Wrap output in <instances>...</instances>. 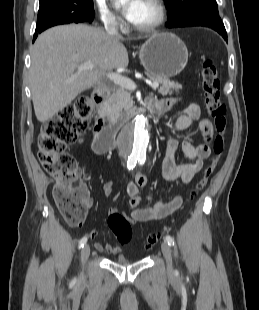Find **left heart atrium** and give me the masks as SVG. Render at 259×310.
Returning a JSON list of instances; mask_svg holds the SVG:
<instances>
[{"label":"left heart atrium","mask_w":259,"mask_h":310,"mask_svg":"<svg viewBox=\"0 0 259 310\" xmlns=\"http://www.w3.org/2000/svg\"><path fill=\"white\" fill-rule=\"evenodd\" d=\"M141 0H131L123 9L125 18L132 23Z\"/></svg>","instance_id":"obj_1"}]
</instances>
